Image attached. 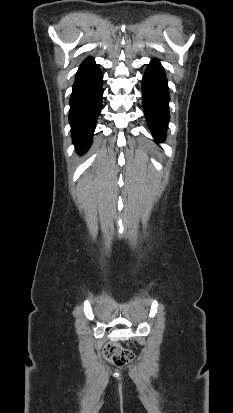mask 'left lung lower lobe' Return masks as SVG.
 I'll return each instance as SVG.
<instances>
[{"label":"left lung lower lobe","mask_w":233,"mask_h":413,"mask_svg":"<svg viewBox=\"0 0 233 413\" xmlns=\"http://www.w3.org/2000/svg\"><path fill=\"white\" fill-rule=\"evenodd\" d=\"M143 107L154 138L162 141L169 121V91L163 67L156 60L148 65L142 81Z\"/></svg>","instance_id":"1"}]
</instances>
